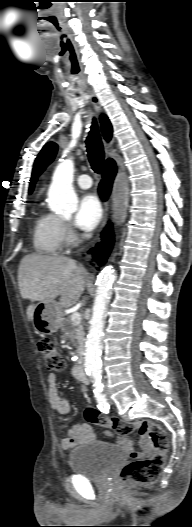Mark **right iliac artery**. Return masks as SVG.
<instances>
[{
    "mask_svg": "<svg viewBox=\"0 0 192 527\" xmlns=\"http://www.w3.org/2000/svg\"><path fill=\"white\" fill-rule=\"evenodd\" d=\"M95 398L98 403V407L102 412L107 413L109 405L107 403L106 395L103 393V385H95L94 389Z\"/></svg>",
    "mask_w": 192,
    "mask_h": 527,
    "instance_id": "1",
    "label": "right iliac artery"
}]
</instances>
